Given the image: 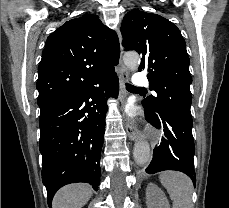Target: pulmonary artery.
Listing matches in <instances>:
<instances>
[{"label":"pulmonary artery","instance_id":"pulmonary-artery-1","mask_svg":"<svg viewBox=\"0 0 229 208\" xmlns=\"http://www.w3.org/2000/svg\"><path fill=\"white\" fill-rule=\"evenodd\" d=\"M137 77H144L145 73L144 72H137L136 73ZM133 86L134 87H147L149 83V78H134L133 79Z\"/></svg>","mask_w":229,"mask_h":208}]
</instances>
